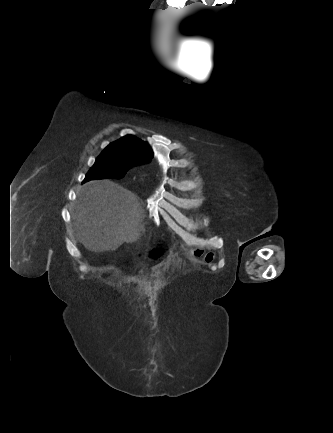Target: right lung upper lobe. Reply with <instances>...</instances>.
<instances>
[{
  "label": "right lung upper lobe",
  "instance_id": "1",
  "mask_svg": "<svg viewBox=\"0 0 333 433\" xmlns=\"http://www.w3.org/2000/svg\"><path fill=\"white\" fill-rule=\"evenodd\" d=\"M103 152L116 156H130L136 158L140 164L147 163L153 157L149 146L132 135L109 144Z\"/></svg>",
  "mask_w": 333,
  "mask_h": 433
}]
</instances>
